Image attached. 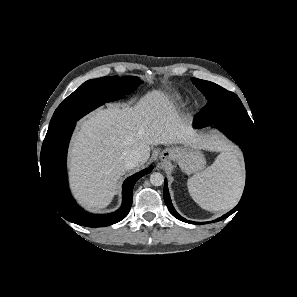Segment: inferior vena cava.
I'll return each instance as SVG.
<instances>
[{"mask_svg":"<svg viewBox=\"0 0 297 297\" xmlns=\"http://www.w3.org/2000/svg\"><path fill=\"white\" fill-rule=\"evenodd\" d=\"M144 159L141 152L132 151L125 159V169L130 170L138 166Z\"/></svg>","mask_w":297,"mask_h":297,"instance_id":"1","label":"inferior vena cava"}]
</instances>
